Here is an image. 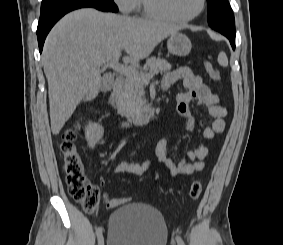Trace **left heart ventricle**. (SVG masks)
Listing matches in <instances>:
<instances>
[{
	"instance_id": "1",
	"label": "left heart ventricle",
	"mask_w": 283,
	"mask_h": 245,
	"mask_svg": "<svg viewBox=\"0 0 283 245\" xmlns=\"http://www.w3.org/2000/svg\"><path fill=\"white\" fill-rule=\"evenodd\" d=\"M201 0H161L165 12L175 17H188L195 14Z\"/></svg>"
}]
</instances>
